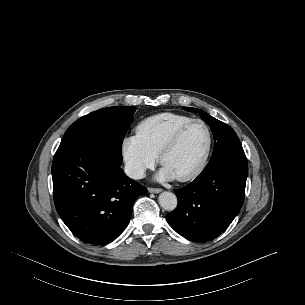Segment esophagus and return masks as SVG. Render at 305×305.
Here are the masks:
<instances>
[{"mask_svg": "<svg viewBox=\"0 0 305 305\" xmlns=\"http://www.w3.org/2000/svg\"><path fill=\"white\" fill-rule=\"evenodd\" d=\"M150 193H160L162 191L161 188H148Z\"/></svg>", "mask_w": 305, "mask_h": 305, "instance_id": "esophagus-1", "label": "esophagus"}]
</instances>
